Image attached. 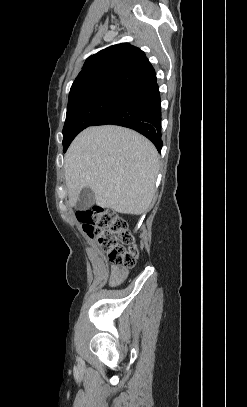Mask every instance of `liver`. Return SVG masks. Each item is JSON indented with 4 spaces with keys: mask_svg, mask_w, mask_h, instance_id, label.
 Segmentation results:
<instances>
[{
    "mask_svg": "<svg viewBox=\"0 0 247 407\" xmlns=\"http://www.w3.org/2000/svg\"><path fill=\"white\" fill-rule=\"evenodd\" d=\"M64 169L70 206L89 187L97 205L140 215L153 200L159 158L154 145L139 133L105 125L89 127L74 139Z\"/></svg>",
    "mask_w": 247,
    "mask_h": 407,
    "instance_id": "6515ba94",
    "label": "liver"
}]
</instances>
